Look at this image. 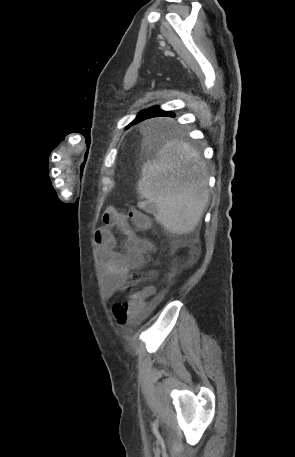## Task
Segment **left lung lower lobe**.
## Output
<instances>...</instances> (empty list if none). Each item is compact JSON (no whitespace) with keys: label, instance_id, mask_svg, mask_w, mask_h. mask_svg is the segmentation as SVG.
<instances>
[{"label":"left lung lower lobe","instance_id":"0a47b994","mask_svg":"<svg viewBox=\"0 0 295 457\" xmlns=\"http://www.w3.org/2000/svg\"><path fill=\"white\" fill-rule=\"evenodd\" d=\"M159 116L174 117V114H173L172 112H170V111H163V110H161L160 108L155 107V108H154V111H153V113H152V116H151L150 118H152V117H159ZM147 119H148V118H147Z\"/></svg>","mask_w":295,"mask_h":457}]
</instances>
